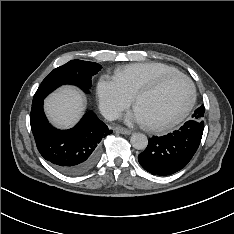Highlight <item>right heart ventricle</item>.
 <instances>
[{"instance_id": "right-heart-ventricle-1", "label": "right heart ventricle", "mask_w": 234, "mask_h": 234, "mask_svg": "<svg viewBox=\"0 0 234 234\" xmlns=\"http://www.w3.org/2000/svg\"><path fill=\"white\" fill-rule=\"evenodd\" d=\"M179 72L176 68L163 63H135L116 70L115 76L125 91L132 97L142 87L163 75Z\"/></svg>"}]
</instances>
